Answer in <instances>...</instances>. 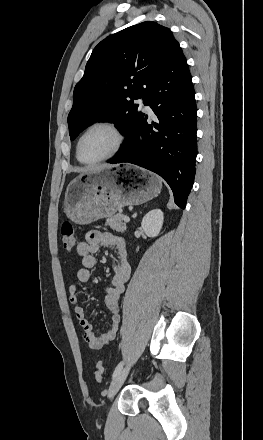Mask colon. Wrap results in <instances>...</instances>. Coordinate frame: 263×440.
Instances as JSON below:
<instances>
[{"instance_id": "colon-1", "label": "colon", "mask_w": 263, "mask_h": 440, "mask_svg": "<svg viewBox=\"0 0 263 440\" xmlns=\"http://www.w3.org/2000/svg\"><path fill=\"white\" fill-rule=\"evenodd\" d=\"M61 242L66 251H72L77 245V234L74 225L70 221H65L61 227ZM96 381L103 380V364L98 363L94 370Z\"/></svg>"}]
</instances>
